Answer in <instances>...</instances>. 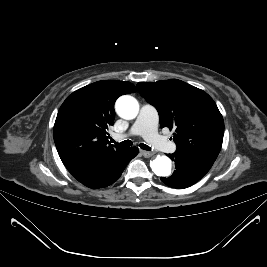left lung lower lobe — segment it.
Wrapping results in <instances>:
<instances>
[{
  "instance_id": "left-lung-lower-lobe-1",
  "label": "left lung lower lobe",
  "mask_w": 267,
  "mask_h": 267,
  "mask_svg": "<svg viewBox=\"0 0 267 267\" xmlns=\"http://www.w3.org/2000/svg\"><path fill=\"white\" fill-rule=\"evenodd\" d=\"M167 156L175 162L176 170L170 177H161V180L166 185L177 189L187 188L198 182L214 163L208 159L189 155L179 150Z\"/></svg>"
}]
</instances>
